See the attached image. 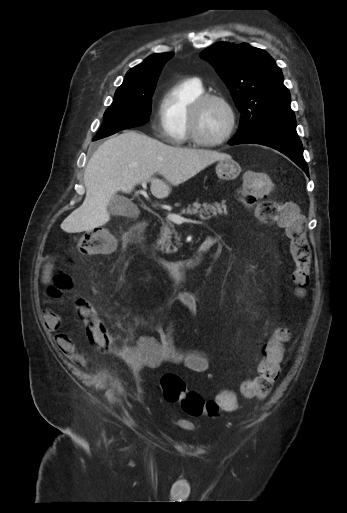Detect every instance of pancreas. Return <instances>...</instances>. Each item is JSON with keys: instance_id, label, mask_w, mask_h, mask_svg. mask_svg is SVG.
<instances>
[{"instance_id": "pancreas-1", "label": "pancreas", "mask_w": 347, "mask_h": 513, "mask_svg": "<svg viewBox=\"0 0 347 513\" xmlns=\"http://www.w3.org/2000/svg\"><path fill=\"white\" fill-rule=\"evenodd\" d=\"M182 214H189V215H206V216H216L217 214H227L226 205L224 203H203L202 205L199 203H193L192 205H189L188 208L182 209L178 215ZM175 236V239L180 240V237L178 236V233L176 232L174 228V224L167 218L165 220H162V226L160 227V238L157 241V244L160 246V250L164 251L166 253H172L176 252L177 248L172 246V236Z\"/></svg>"}]
</instances>
